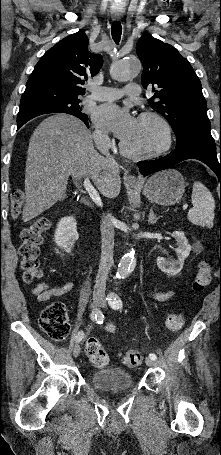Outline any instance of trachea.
I'll return each instance as SVG.
<instances>
[{
	"mask_svg": "<svg viewBox=\"0 0 221 455\" xmlns=\"http://www.w3.org/2000/svg\"><path fill=\"white\" fill-rule=\"evenodd\" d=\"M111 33H112V38L115 41V43H119L121 39V34H122V26L120 22H114L111 27Z\"/></svg>",
	"mask_w": 221,
	"mask_h": 455,
	"instance_id": "trachea-1",
	"label": "trachea"
}]
</instances>
